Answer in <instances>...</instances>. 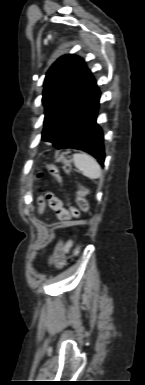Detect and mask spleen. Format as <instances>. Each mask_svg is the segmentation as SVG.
I'll list each match as a JSON object with an SVG mask.
<instances>
[{"label":"spleen","mask_w":145,"mask_h":385,"mask_svg":"<svg viewBox=\"0 0 145 385\" xmlns=\"http://www.w3.org/2000/svg\"><path fill=\"white\" fill-rule=\"evenodd\" d=\"M75 166L82 174L90 179H97L101 176V168L98 162L89 154L76 153L73 155Z\"/></svg>","instance_id":"obj_1"}]
</instances>
